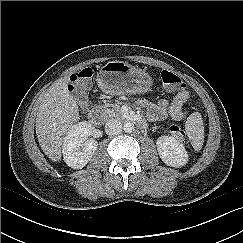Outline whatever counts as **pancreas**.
I'll use <instances>...</instances> for the list:
<instances>
[{
    "mask_svg": "<svg viewBox=\"0 0 243 243\" xmlns=\"http://www.w3.org/2000/svg\"><path fill=\"white\" fill-rule=\"evenodd\" d=\"M111 107V108H109ZM121 114L120 106L117 104H107L104 106L103 115L105 117H118Z\"/></svg>",
    "mask_w": 243,
    "mask_h": 243,
    "instance_id": "pancreas-1",
    "label": "pancreas"
}]
</instances>
